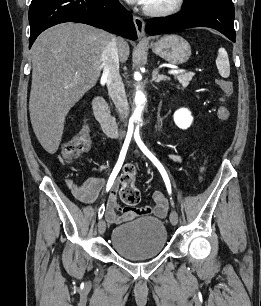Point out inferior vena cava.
I'll list each match as a JSON object with an SVG mask.
<instances>
[{
  "instance_id": "602c4592",
  "label": "inferior vena cava",
  "mask_w": 261,
  "mask_h": 306,
  "mask_svg": "<svg viewBox=\"0 0 261 306\" xmlns=\"http://www.w3.org/2000/svg\"><path fill=\"white\" fill-rule=\"evenodd\" d=\"M102 66V78L107 83L109 96L116 107L120 120L126 123L129 109L124 85L119 74V54L115 37L111 38L103 52Z\"/></svg>"
}]
</instances>
